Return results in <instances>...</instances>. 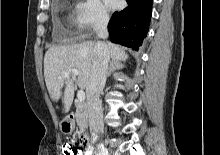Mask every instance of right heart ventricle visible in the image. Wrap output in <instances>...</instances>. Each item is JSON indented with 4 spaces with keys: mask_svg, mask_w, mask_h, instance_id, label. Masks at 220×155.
I'll list each match as a JSON object with an SVG mask.
<instances>
[{
    "mask_svg": "<svg viewBox=\"0 0 220 155\" xmlns=\"http://www.w3.org/2000/svg\"><path fill=\"white\" fill-rule=\"evenodd\" d=\"M66 22L69 23L70 19H71V15L70 12H67L66 16H65Z\"/></svg>",
    "mask_w": 220,
    "mask_h": 155,
    "instance_id": "e07e8e85",
    "label": "right heart ventricle"
}]
</instances>
